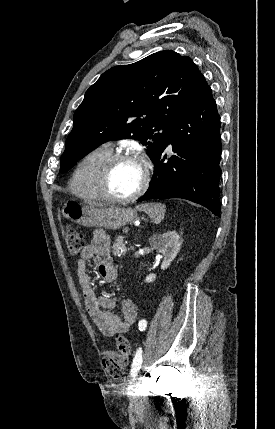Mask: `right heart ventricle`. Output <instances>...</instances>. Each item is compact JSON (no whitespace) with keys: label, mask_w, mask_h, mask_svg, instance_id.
I'll use <instances>...</instances> for the list:
<instances>
[{"label":"right heart ventricle","mask_w":275,"mask_h":429,"mask_svg":"<svg viewBox=\"0 0 275 429\" xmlns=\"http://www.w3.org/2000/svg\"><path fill=\"white\" fill-rule=\"evenodd\" d=\"M112 155V148L103 145L87 153L76 166L69 188L73 194L84 200H99L95 181L103 162Z\"/></svg>","instance_id":"right-heart-ventricle-1"}]
</instances>
